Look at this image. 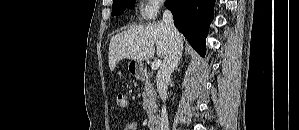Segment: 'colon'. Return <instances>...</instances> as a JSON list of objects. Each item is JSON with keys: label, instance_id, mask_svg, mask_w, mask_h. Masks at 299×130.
<instances>
[{"label": "colon", "instance_id": "5ec220e1", "mask_svg": "<svg viewBox=\"0 0 299 130\" xmlns=\"http://www.w3.org/2000/svg\"><path fill=\"white\" fill-rule=\"evenodd\" d=\"M116 102H117V105L120 108H125L127 106V103H128L126 95H124L122 93L118 94L117 98H116Z\"/></svg>", "mask_w": 299, "mask_h": 130}]
</instances>
